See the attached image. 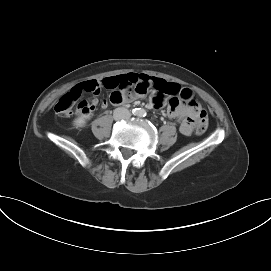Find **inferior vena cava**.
<instances>
[{"mask_svg": "<svg viewBox=\"0 0 271 271\" xmlns=\"http://www.w3.org/2000/svg\"><path fill=\"white\" fill-rule=\"evenodd\" d=\"M130 116V112L129 110L121 107V108H116L114 110V117L117 118V119H121V118H125V117H128Z\"/></svg>", "mask_w": 271, "mask_h": 271, "instance_id": "obj_1", "label": "inferior vena cava"}]
</instances>
